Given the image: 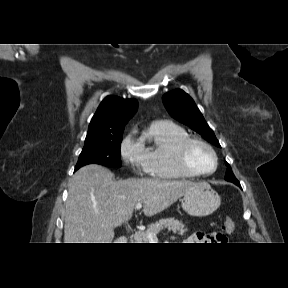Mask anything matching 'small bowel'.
<instances>
[{"instance_id":"small-bowel-1","label":"small bowel","mask_w":288,"mask_h":288,"mask_svg":"<svg viewBox=\"0 0 288 288\" xmlns=\"http://www.w3.org/2000/svg\"><path fill=\"white\" fill-rule=\"evenodd\" d=\"M220 233H213L210 235H206L205 233H195L189 237L190 243H211V242H222L223 238L219 237Z\"/></svg>"}]
</instances>
